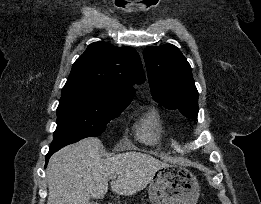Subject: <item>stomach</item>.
Listing matches in <instances>:
<instances>
[{"mask_svg":"<svg viewBox=\"0 0 261 204\" xmlns=\"http://www.w3.org/2000/svg\"><path fill=\"white\" fill-rule=\"evenodd\" d=\"M199 192L196 176L175 164L159 168L148 188L151 204H196Z\"/></svg>","mask_w":261,"mask_h":204,"instance_id":"obj_1","label":"stomach"}]
</instances>
